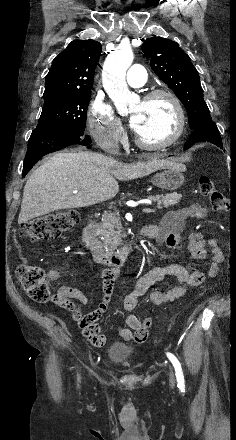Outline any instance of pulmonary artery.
<instances>
[{"mask_svg": "<svg viewBox=\"0 0 236 440\" xmlns=\"http://www.w3.org/2000/svg\"><path fill=\"white\" fill-rule=\"evenodd\" d=\"M147 72L141 65H133L127 74V83L131 87L143 86L146 82Z\"/></svg>", "mask_w": 236, "mask_h": 440, "instance_id": "obj_1", "label": "pulmonary artery"}]
</instances>
